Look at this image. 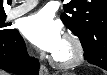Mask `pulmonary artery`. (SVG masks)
<instances>
[{"label":"pulmonary artery","mask_w":107,"mask_h":75,"mask_svg":"<svg viewBox=\"0 0 107 75\" xmlns=\"http://www.w3.org/2000/svg\"><path fill=\"white\" fill-rule=\"evenodd\" d=\"M37 2L33 0H27L24 3L20 4L19 6L10 10L8 16L9 18H16L19 17L36 6Z\"/></svg>","instance_id":"e3ab8cb5"}]
</instances>
